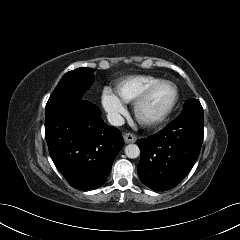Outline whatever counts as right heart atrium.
Listing matches in <instances>:
<instances>
[{"label": "right heart atrium", "instance_id": "1", "mask_svg": "<svg viewBox=\"0 0 240 240\" xmlns=\"http://www.w3.org/2000/svg\"><path fill=\"white\" fill-rule=\"evenodd\" d=\"M101 102L109 119L118 123L126 113V105L112 89L105 87L102 92Z\"/></svg>", "mask_w": 240, "mask_h": 240}]
</instances>
